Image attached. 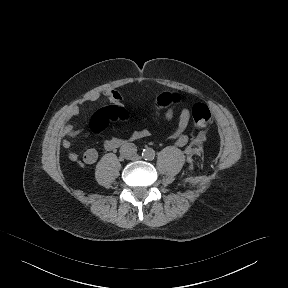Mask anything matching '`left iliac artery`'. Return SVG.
<instances>
[{
    "mask_svg": "<svg viewBox=\"0 0 288 288\" xmlns=\"http://www.w3.org/2000/svg\"><path fill=\"white\" fill-rule=\"evenodd\" d=\"M142 156L145 160H153L155 157V152L151 148L143 149Z\"/></svg>",
    "mask_w": 288,
    "mask_h": 288,
    "instance_id": "44dca946",
    "label": "left iliac artery"
}]
</instances>
